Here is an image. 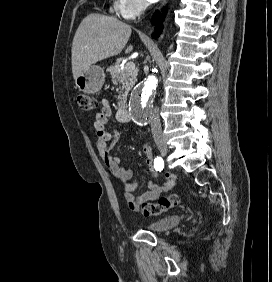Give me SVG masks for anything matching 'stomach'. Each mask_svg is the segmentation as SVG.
<instances>
[{
	"label": "stomach",
	"instance_id": "obj_1",
	"mask_svg": "<svg viewBox=\"0 0 272 282\" xmlns=\"http://www.w3.org/2000/svg\"><path fill=\"white\" fill-rule=\"evenodd\" d=\"M104 81V69L97 65H91L75 79V85L82 92L94 94L101 89Z\"/></svg>",
	"mask_w": 272,
	"mask_h": 282
}]
</instances>
